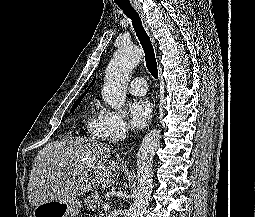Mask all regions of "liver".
Segmentation results:
<instances>
[{
	"label": "liver",
	"mask_w": 255,
	"mask_h": 217,
	"mask_svg": "<svg viewBox=\"0 0 255 217\" xmlns=\"http://www.w3.org/2000/svg\"><path fill=\"white\" fill-rule=\"evenodd\" d=\"M120 168L111 149L87 138H65L47 144L37 154L28 183V200L38 206L73 199L101 184L110 187Z\"/></svg>",
	"instance_id": "obj_1"
}]
</instances>
